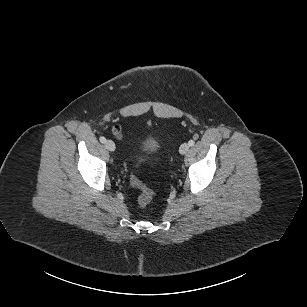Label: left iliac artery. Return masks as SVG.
I'll return each instance as SVG.
<instances>
[{
  "mask_svg": "<svg viewBox=\"0 0 307 307\" xmlns=\"http://www.w3.org/2000/svg\"><path fill=\"white\" fill-rule=\"evenodd\" d=\"M188 144H189V146H194V144H195V141L194 140H190L189 142H188Z\"/></svg>",
  "mask_w": 307,
  "mask_h": 307,
  "instance_id": "left-iliac-artery-1",
  "label": "left iliac artery"
}]
</instances>
